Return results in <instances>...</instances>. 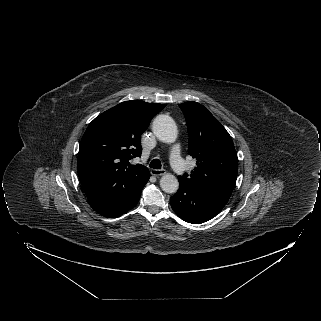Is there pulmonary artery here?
I'll list each match as a JSON object with an SVG mask.
<instances>
[{
    "label": "pulmonary artery",
    "mask_w": 321,
    "mask_h": 321,
    "mask_svg": "<svg viewBox=\"0 0 321 321\" xmlns=\"http://www.w3.org/2000/svg\"><path fill=\"white\" fill-rule=\"evenodd\" d=\"M170 163L177 174H182L185 171V163L180 156V148L176 145L170 155Z\"/></svg>",
    "instance_id": "pulmonary-artery-1"
}]
</instances>
